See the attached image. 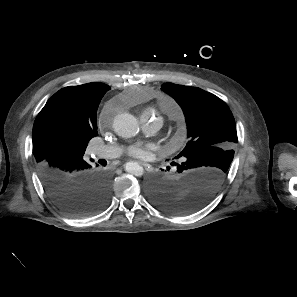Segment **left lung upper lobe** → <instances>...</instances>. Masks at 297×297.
Segmentation results:
<instances>
[{
	"instance_id": "5c2ea615",
	"label": "left lung upper lobe",
	"mask_w": 297,
	"mask_h": 297,
	"mask_svg": "<svg viewBox=\"0 0 297 297\" xmlns=\"http://www.w3.org/2000/svg\"><path fill=\"white\" fill-rule=\"evenodd\" d=\"M161 89L181 106L189 139L176 159L186 169H208L226 178L238 141L234 117L217 96L200 88L165 83Z\"/></svg>"
}]
</instances>
